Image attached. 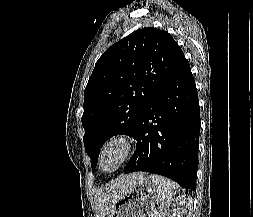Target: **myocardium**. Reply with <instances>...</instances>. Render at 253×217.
Here are the masks:
<instances>
[{"label": "myocardium", "instance_id": "1", "mask_svg": "<svg viewBox=\"0 0 253 217\" xmlns=\"http://www.w3.org/2000/svg\"><path fill=\"white\" fill-rule=\"evenodd\" d=\"M116 150L118 152L115 164L106 169L104 160L109 152ZM135 142L131 135L125 132H117L111 135L102 144L97 158V168L104 174H113L118 171L134 154Z\"/></svg>", "mask_w": 253, "mask_h": 217}]
</instances>
